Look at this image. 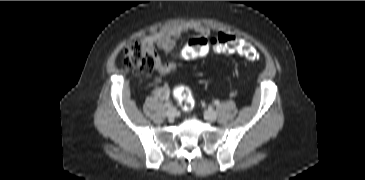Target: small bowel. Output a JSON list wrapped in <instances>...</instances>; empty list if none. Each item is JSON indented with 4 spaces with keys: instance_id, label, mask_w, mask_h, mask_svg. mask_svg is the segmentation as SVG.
<instances>
[{
    "instance_id": "1",
    "label": "small bowel",
    "mask_w": 365,
    "mask_h": 180,
    "mask_svg": "<svg viewBox=\"0 0 365 180\" xmlns=\"http://www.w3.org/2000/svg\"><path fill=\"white\" fill-rule=\"evenodd\" d=\"M186 32H194L198 37L203 38H207L210 34L208 27L201 23L183 24L168 27L147 36L143 39V44L153 51L159 49L164 52H170L175 47L177 39ZM156 71L159 75H171L177 71V64L174 62L162 63L157 57ZM152 83L154 84V94L156 96L162 99L169 96L170 89L168 85L162 83L159 77L154 78Z\"/></svg>"
}]
</instances>
